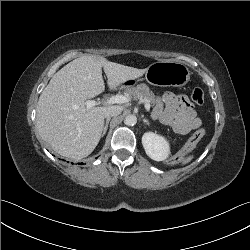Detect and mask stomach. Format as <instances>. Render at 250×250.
<instances>
[{
    "label": "stomach",
    "mask_w": 250,
    "mask_h": 250,
    "mask_svg": "<svg viewBox=\"0 0 250 250\" xmlns=\"http://www.w3.org/2000/svg\"><path fill=\"white\" fill-rule=\"evenodd\" d=\"M145 77L152 85L183 87L190 79V71L186 65L180 62L158 61L147 68ZM136 81V79L128 80L125 85H133Z\"/></svg>",
    "instance_id": "1"
}]
</instances>
